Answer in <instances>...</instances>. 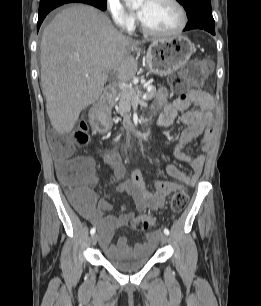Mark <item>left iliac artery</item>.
I'll return each instance as SVG.
<instances>
[{
  "label": "left iliac artery",
  "mask_w": 261,
  "mask_h": 306,
  "mask_svg": "<svg viewBox=\"0 0 261 306\" xmlns=\"http://www.w3.org/2000/svg\"><path fill=\"white\" fill-rule=\"evenodd\" d=\"M164 234L169 235V230L167 228L164 229Z\"/></svg>",
  "instance_id": "left-iliac-artery-1"
}]
</instances>
